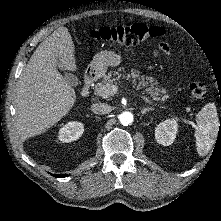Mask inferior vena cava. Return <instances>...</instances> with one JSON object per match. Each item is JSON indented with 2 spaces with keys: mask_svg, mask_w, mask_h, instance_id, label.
<instances>
[{
  "mask_svg": "<svg viewBox=\"0 0 221 221\" xmlns=\"http://www.w3.org/2000/svg\"><path fill=\"white\" fill-rule=\"evenodd\" d=\"M91 110L95 114L104 115L111 111V107L105 103H95L91 105Z\"/></svg>",
  "mask_w": 221,
  "mask_h": 221,
  "instance_id": "obj_1",
  "label": "inferior vena cava"
}]
</instances>
